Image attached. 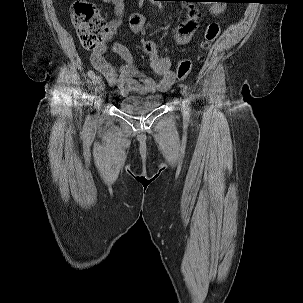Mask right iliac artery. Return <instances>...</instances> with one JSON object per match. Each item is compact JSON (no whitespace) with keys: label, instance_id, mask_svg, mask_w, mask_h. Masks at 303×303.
I'll return each instance as SVG.
<instances>
[{"label":"right iliac artery","instance_id":"1","mask_svg":"<svg viewBox=\"0 0 303 303\" xmlns=\"http://www.w3.org/2000/svg\"><path fill=\"white\" fill-rule=\"evenodd\" d=\"M94 85H95V90H94V95L91 97V99H94V97L97 96L101 91L104 89V84L101 82L100 77H96L94 80ZM90 119V116H87V121Z\"/></svg>","mask_w":303,"mask_h":303}]
</instances>
